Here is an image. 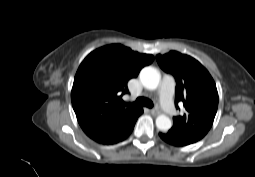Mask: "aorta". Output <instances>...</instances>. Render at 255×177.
I'll return each mask as SVG.
<instances>
[{
  "label": "aorta",
  "instance_id": "762f6f07",
  "mask_svg": "<svg viewBox=\"0 0 255 177\" xmlns=\"http://www.w3.org/2000/svg\"><path fill=\"white\" fill-rule=\"evenodd\" d=\"M140 81L142 85L148 90H155L160 83V73L154 67L148 66L141 70ZM156 126L161 131H168L172 127V122L169 117L159 115L156 118Z\"/></svg>",
  "mask_w": 255,
  "mask_h": 177
}]
</instances>
